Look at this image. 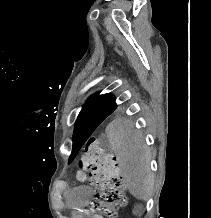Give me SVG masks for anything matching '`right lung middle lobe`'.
<instances>
[{"label": "right lung middle lobe", "instance_id": "right-lung-middle-lobe-1", "mask_svg": "<svg viewBox=\"0 0 211 218\" xmlns=\"http://www.w3.org/2000/svg\"><path fill=\"white\" fill-rule=\"evenodd\" d=\"M116 108L115 102H91L85 104L76 120L73 139L88 138Z\"/></svg>", "mask_w": 211, "mask_h": 218}]
</instances>
